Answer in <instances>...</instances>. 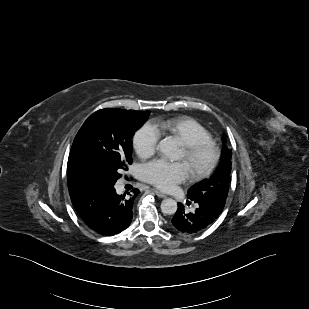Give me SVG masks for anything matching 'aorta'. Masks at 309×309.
<instances>
[{"label":"aorta","mask_w":309,"mask_h":309,"mask_svg":"<svg viewBox=\"0 0 309 309\" xmlns=\"http://www.w3.org/2000/svg\"><path fill=\"white\" fill-rule=\"evenodd\" d=\"M158 149L164 155L177 159L178 158V146L174 139L166 137L158 144ZM161 210L166 215H173L177 211V202L172 198H166L161 203Z\"/></svg>","instance_id":"1"}]
</instances>
